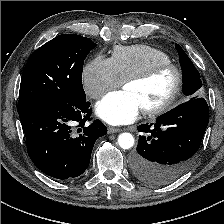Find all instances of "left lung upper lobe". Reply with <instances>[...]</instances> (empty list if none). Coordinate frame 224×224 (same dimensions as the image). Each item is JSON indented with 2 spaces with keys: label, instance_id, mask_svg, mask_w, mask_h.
<instances>
[{
  "label": "left lung upper lobe",
  "instance_id": "left-lung-upper-lobe-1",
  "mask_svg": "<svg viewBox=\"0 0 224 224\" xmlns=\"http://www.w3.org/2000/svg\"><path fill=\"white\" fill-rule=\"evenodd\" d=\"M175 48L178 51L179 61L183 71L182 91L184 95L188 96V99L190 100L200 97L202 82L198 70L194 67L192 61L178 44H175Z\"/></svg>",
  "mask_w": 224,
  "mask_h": 224
}]
</instances>
